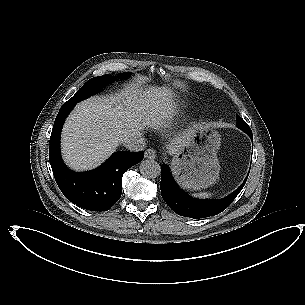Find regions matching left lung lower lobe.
<instances>
[{
  "mask_svg": "<svg viewBox=\"0 0 305 305\" xmlns=\"http://www.w3.org/2000/svg\"><path fill=\"white\" fill-rule=\"evenodd\" d=\"M242 187L243 185L233 192L231 197L227 196L226 202L221 205H218L215 200H196L187 196L178 188L167 166L161 167L160 188L162 197L174 212L185 217L204 218L221 213L233 202Z\"/></svg>",
  "mask_w": 305,
  "mask_h": 305,
  "instance_id": "left-lung-lower-lobe-1",
  "label": "left lung lower lobe"
}]
</instances>
